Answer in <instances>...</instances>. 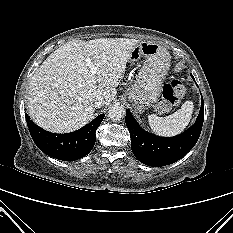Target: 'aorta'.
<instances>
[{"instance_id":"aorta-1","label":"aorta","mask_w":233,"mask_h":233,"mask_svg":"<svg viewBox=\"0 0 233 233\" xmlns=\"http://www.w3.org/2000/svg\"><path fill=\"white\" fill-rule=\"evenodd\" d=\"M126 114V110L123 106L114 105L108 111V117L113 121L121 120Z\"/></svg>"}]
</instances>
